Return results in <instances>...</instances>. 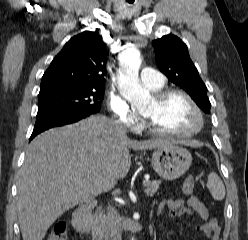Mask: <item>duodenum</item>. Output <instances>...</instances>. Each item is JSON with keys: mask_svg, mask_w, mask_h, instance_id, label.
Wrapping results in <instances>:
<instances>
[{"mask_svg": "<svg viewBox=\"0 0 248 240\" xmlns=\"http://www.w3.org/2000/svg\"><path fill=\"white\" fill-rule=\"evenodd\" d=\"M96 206L94 200H89L82 203L74 212L72 224L73 227L85 235L86 240H100V238L93 231L90 215Z\"/></svg>", "mask_w": 248, "mask_h": 240, "instance_id": "duodenum-1", "label": "duodenum"}]
</instances>
